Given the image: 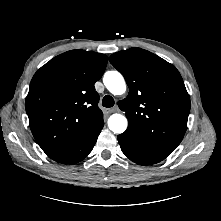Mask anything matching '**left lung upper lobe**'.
Returning a JSON list of instances; mask_svg holds the SVG:
<instances>
[{
    "instance_id": "left-lung-upper-lobe-1",
    "label": "left lung upper lobe",
    "mask_w": 221,
    "mask_h": 221,
    "mask_svg": "<svg viewBox=\"0 0 221 221\" xmlns=\"http://www.w3.org/2000/svg\"><path fill=\"white\" fill-rule=\"evenodd\" d=\"M109 60L130 89L118 102L126 112L128 129L147 146L172 153L184 137L190 112V98L179 71L141 48L114 53Z\"/></svg>"
}]
</instances>
